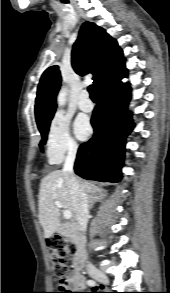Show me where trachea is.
<instances>
[{
  "label": "trachea",
  "instance_id": "3493384b",
  "mask_svg": "<svg viewBox=\"0 0 170 293\" xmlns=\"http://www.w3.org/2000/svg\"><path fill=\"white\" fill-rule=\"evenodd\" d=\"M88 91L90 93V97L92 99H95L96 98V92H95V88H94L93 85L88 86Z\"/></svg>",
  "mask_w": 170,
  "mask_h": 293
}]
</instances>
